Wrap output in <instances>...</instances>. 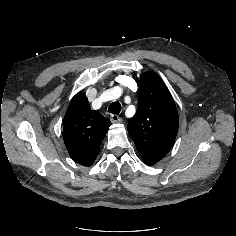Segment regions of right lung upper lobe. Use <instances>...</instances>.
<instances>
[{
    "label": "right lung upper lobe",
    "instance_id": "1",
    "mask_svg": "<svg viewBox=\"0 0 236 236\" xmlns=\"http://www.w3.org/2000/svg\"><path fill=\"white\" fill-rule=\"evenodd\" d=\"M109 126V119L90 109L85 95H75L63 123V139L70 157L81 165L91 166Z\"/></svg>",
    "mask_w": 236,
    "mask_h": 236
}]
</instances>
